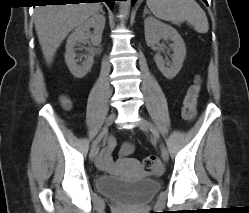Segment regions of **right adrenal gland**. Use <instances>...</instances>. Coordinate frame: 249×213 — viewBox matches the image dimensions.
I'll return each mask as SVG.
<instances>
[{
  "label": "right adrenal gland",
  "mask_w": 249,
  "mask_h": 213,
  "mask_svg": "<svg viewBox=\"0 0 249 213\" xmlns=\"http://www.w3.org/2000/svg\"><path fill=\"white\" fill-rule=\"evenodd\" d=\"M100 12L104 15L105 14V12L103 11V9L101 8L100 9Z\"/></svg>",
  "instance_id": "2a0ac1e0"
}]
</instances>
